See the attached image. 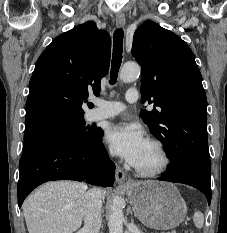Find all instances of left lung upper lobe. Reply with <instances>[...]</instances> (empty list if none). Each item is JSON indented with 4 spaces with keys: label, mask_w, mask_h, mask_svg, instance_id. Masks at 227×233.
Instances as JSON below:
<instances>
[{
    "label": "left lung upper lobe",
    "mask_w": 227,
    "mask_h": 233,
    "mask_svg": "<svg viewBox=\"0 0 227 233\" xmlns=\"http://www.w3.org/2000/svg\"><path fill=\"white\" fill-rule=\"evenodd\" d=\"M132 54L141 65L142 102L157 109L141 117L165 146L168 170L187 164L211 171L207 138V99L189 46L155 22H145L133 37Z\"/></svg>",
    "instance_id": "5c2ea615"
}]
</instances>
